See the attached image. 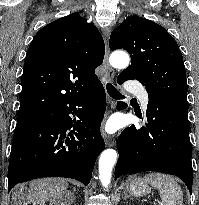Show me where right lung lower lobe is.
Segmentation results:
<instances>
[{
	"label": "right lung lower lobe",
	"mask_w": 199,
	"mask_h": 205,
	"mask_svg": "<svg viewBox=\"0 0 199 205\" xmlns=\"http://www.w3.org/2000/svg\"><path fill=\"white\" fill-rule=\"evenodd\" d=\"M105 109L106 95L99 84L94 92L67 100L31 125L15 131L8 190L17 183L41 177H67L88 185L96 158L104 150L100 124ZM70 114L77 115L79 120L72 119Z\"/></svg>",
	"instance_id": "obj_1"
}]
</instances>
